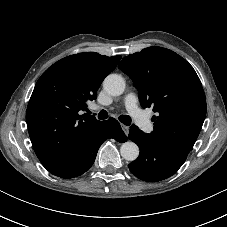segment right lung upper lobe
<instances>
[{
	"instance_id": "obj_1",
	"label": "right lung upper lobe",
	"mask_w": 227,
	"mask_h": 227,
	"mask_svg": "<svg viewBox=\"0 0 227 227\" xmlns=\"http://www.w3.org/2000/svg\"><path fill=\"white\" fill-rule=\"evenodd\" d=\"M120 59L95 52L71 55L37 81L26 119L34 151L47 170L65 160L102 122L82 111H87V101L96 99L99 86Z\"/></svg>"
}]
</instances>
